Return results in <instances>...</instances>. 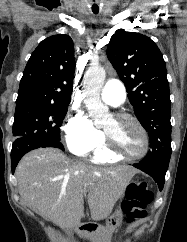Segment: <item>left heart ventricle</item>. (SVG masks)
Instances as JSON below:
<instances>
[{
    "label": "left heart ventricle",
    "mask_w": 187,
    "mask_h": 242,
    "mask_svg": "<svg viewBox=\"0 0 187 242\" xmlns=\"http://www.w3.org/2000/svg\"><path fill=\"white\" fill-rule=\"evenodd\" d=\"M102 128L113 144L123 152L135 155L143 150V137L134 124L120 122L110 116Z\"/></svg>",
    "instance_id": "1"
}]
</instances>
